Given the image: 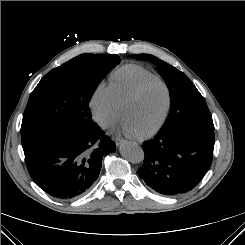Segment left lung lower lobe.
Returning <instances> with one entry per match:
<instances>
[{
	"label": "left lung lower lobe",
	"mask_w": 245,
	"mask_h": 245,
	"mask_svg": "<svg viewBox=\"0 0 245 245\" xmlns=\"http://www.w3.org/2000/svg\"><path fill=\"white\" fill-rule=\"evenodd\" d=\"M214 129L181 122L144 142L138 174L156 192L179 195L193 189L212 163Z\"/></svg>",
	"instance_id": "left-lung-lower-lobe-1"
}]
</instances>
